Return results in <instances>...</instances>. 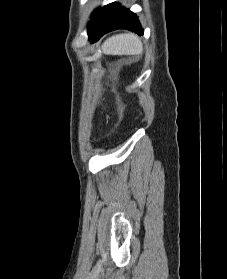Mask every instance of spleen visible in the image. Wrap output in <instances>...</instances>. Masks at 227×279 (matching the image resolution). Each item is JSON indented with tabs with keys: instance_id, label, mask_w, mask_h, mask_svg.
I'll return each mask as SVG.
<instances>
[{
	"instance_id": "3e777b00",
	"label": "spleen",
	"mask_w": 227,
	"mask_h": 279,
	"mask_svg": "<svg viewBox=\"0 0 227 279\" xmlns=\"http://www.w3.org/2000/svg\"><path fill=\"white\" fill-rule=\"evenodd\" d=\"M102 50L110 55H140L143 52V46L136 35L127 33L108 38L103 43Z\"/></svg>"
}]
</instances>
